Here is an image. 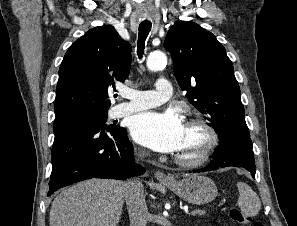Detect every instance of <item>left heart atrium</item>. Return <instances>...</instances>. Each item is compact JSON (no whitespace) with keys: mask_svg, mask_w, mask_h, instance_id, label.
Instances as JSON below:
<instances>
[{"mask_svg":"<svg viewBox=\"0 0 297 226\" xmlns=\"http://www.w3.org/2000/svg\"><path fill=\"white\" fill-rule=\"evenodd\" d=\"M184 128L173 111L145 112L133 117L130 125L133 139L158 152H178L183 143Z\"/></svg>","mask_w":297,"mask_h":226,"instance_id":"obj_1","label":"left heart atrium"}]
</instances>
